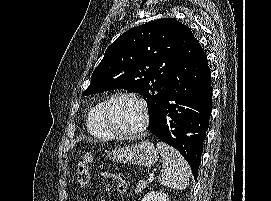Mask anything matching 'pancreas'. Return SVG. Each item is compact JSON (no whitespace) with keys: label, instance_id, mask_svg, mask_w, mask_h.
I'll return each mask as SVG.
<instances>
[{"label":"pancreas","instance_id":"pancreas-1","mask_svg":"<svg viewBox=\"0 0 271 201\" xmlns=\"http://www.w3.org/2000/svg\"><path fill=\"white\" fill-rule=\"evenodd\" d=\"M148 182L145 181V180H140L138 183H137V186H136V189H135V192L136 193H140L143 189H145L146 187H148Z\"/></svg>","mask_w":271,"mask_h":201}]
</instances>
